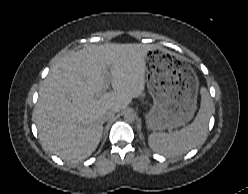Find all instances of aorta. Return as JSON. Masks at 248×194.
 <instances>
[{"mask_svg": "<svg viewBox=\"0 0 248 194\" xmlns=\"http://www.w3.org/2000/svg\"><path fill=\"white\" fill-rule=\"evenodd\" d=\"M124 120L128 123H132L135 121V114L132 112H127L124 115Z\"/></svg>", "mask_w": 248, "mask_h": 194, "instance_id": "obj_1", "label": "aorta"}]
</instances>
